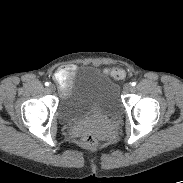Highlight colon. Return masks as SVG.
Listing matches in <instances>:
<instances>
[{"label": "colon", "instance_id": "colon-1", "mask_svg": "<svg viewBox=\"0 0 183 183\" xmlns=\"http://www.w3.org/2000/svg\"><path fill=\"white\" fill-rule=\"evenodd\" d=\"M112 78L121 80L125 77V71L120 67H113L106 70ZM56 80L61 89L65 88L68 82L71 80V74L68 72H58L56 74ZM82 145L86 149H93L97 144V138L91 133H84L81 139Z\"/></svg>", "mask_w": 183, "mask_h": 183}]
</instances>
